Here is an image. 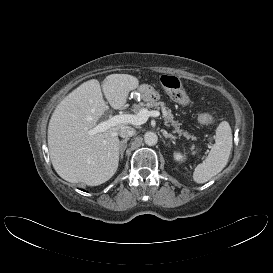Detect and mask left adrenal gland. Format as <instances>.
Returning <instances> with one entry per match:
<instances>
[{"label": "left adrenal gland", "instance_id": "1", "mask_svg": "<svg viewBox=\"0 0 273 273\" xmlns=\"http://www.w3.org/2000/svg\"><path fill=\"white\" fill-rule=\"evenodd\" d=\"M163 135H164V137L167 139V138H172V139H177V137L176 136H174V135H172V134H170V133H167V131H163Z\"/></svg>", "mask_w": 273, "mask_h": 273}]
</instances>
